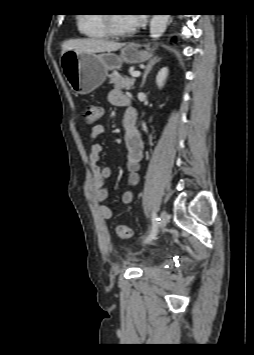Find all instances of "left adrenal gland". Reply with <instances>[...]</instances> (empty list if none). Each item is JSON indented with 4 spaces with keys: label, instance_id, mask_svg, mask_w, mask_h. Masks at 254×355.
<instances>
[{
    "label": "left adrenal gland",
    "instance_id": "a2214340",
    "mask_svg": "<svg viewBox=\"0 0 254 355\" xmlns=\"http://www.w3.org/2000/svg\"><path fill=\"white\" fill-rule=\"evenodd\" d=\"M160 61V58H153L152 60H150L147 65H146V68H145V71H144V74H143V78H142V82H141V85H140V88L142 89L144 84H145V81H146V78L149 74V72L151 71V69L153 68V66L158 63Z\"/></svg>",
    "mask_w": 254,
    "mask_h": 355
}]
</instances>
